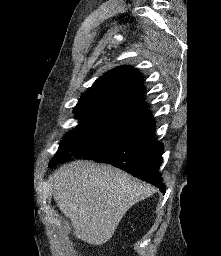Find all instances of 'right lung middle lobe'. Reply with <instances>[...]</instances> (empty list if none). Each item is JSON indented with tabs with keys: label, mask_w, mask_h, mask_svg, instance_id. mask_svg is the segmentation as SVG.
<instances>
[{
	"label": "right lung middle lobe",
	"mask_w": 221,
	"mask_h": 256,
	"mask_svg": "<svg viewBox=\"0 0 221 256\" xmlns=\"http://www.w3.org/2000/svg\"><path fill=\"white\" fill-rule=\"evenodd\" d=\"M79 126L65 134L49 167L82 157L108 140L145 123V116H132L112 108L74 111Z\"/></svg>",
	"instance_id": "dd1d6c3e"
}]
</instances>
